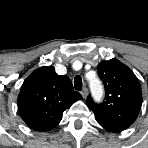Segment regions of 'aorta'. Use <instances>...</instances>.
Wrapping results in <instances>:
<instances>
[{
	"mask_svg": "<svg viewBox=\"0 0 148 148\" xmlns=\"http://www.w3.org/2000/svg\"><path fill=\"white\" fill-rule=\"evenodd\" d=\"M89 86L94 100L100 102L104 97V88L95 74L93 77L89 78Z\"/></svg>",
	"mask_w": 148,
	"mask_h": 148,
	"instance_id": "762f6f07",
	"label": "aorta"
}]
</instances>
